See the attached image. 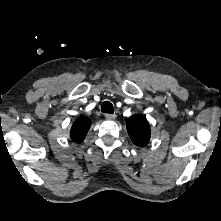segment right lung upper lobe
Listing matches in <instances>:
<instances>
[{
    "instance_id": "cb5924a9",
    "label": "right lung upper lobe",
    "mask_w": 221,
    "mask_h": 221,
    "mask_svg": "<svg viewBox=\"0 0 221 221\" xmlns=\"http://www.w3.org/2000/svg\"><path fill=\"white\" fill-rule=\"evenodd\" d=\"M91 126V120L88 117L82 116L78 118L75 123L72 125L70 131L71 139L76 142L80 143L86 137V134Z\"/></svg>"
}]
</instances>
